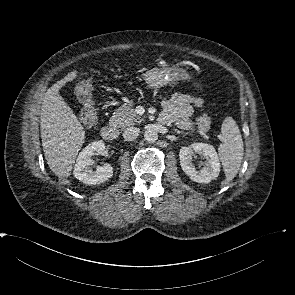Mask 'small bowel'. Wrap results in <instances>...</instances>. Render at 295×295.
Segmentation results:
<instances>
[{
    "label": "small bowel",
    "instance_id": "obj_1",
    "mask_svg": "<svg viewBox=\"0 0 295 295\" xmlns=\"http://www.w3.org/2000/svg\"><path fill=\"white\" fill-rule=\"evenodd\" d=\"M201 104V98L175 93L163 102V113L160 119L165 123H177L182 127H188L193 106H200Z\"/></svg>",
    "mask_w": 295,
    "mask_h": 295
}]
</instances>
